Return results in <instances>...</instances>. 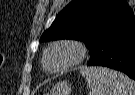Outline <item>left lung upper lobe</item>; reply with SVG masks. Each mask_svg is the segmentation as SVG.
Returning <instances> with one entry per match:
<instances>
[{
	"instance_id": "obj_1",
	"label": "left lung upper lobe",
	"mask_w": 135,
	"mask_h": 95,
	"mask_svg": "<svg viewBox=\"0 0 135 95\" xmlns=\"http://www.w3.org/2000/svg\"><path fill=\"white\" fill-rule=\"evenodd\" d=\"M134 21V13L126 0H73L57 15L40 41L79 40L93 56L106 36Z\"/></svg>"
}]
</instances>
